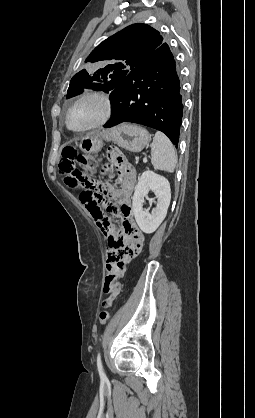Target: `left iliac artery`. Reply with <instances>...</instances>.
<instances>
[{
	"instance_id": "44dca946",
	"label": "left iliac artery",
	"mask_w": 255,
	"mask_h": 418,
	"mask_svg": "<svg viewBox=\"0 0 255 418\" xmlns=\"http://www.w3.org/2000/svg\"><path fill=\"white\" fill-rule=\"evenodd\" d=\"M97 367H98V371H99L100 376L102 378H104L105 377V374H104V370H103V366H102V362H101V355H100V353H98V355H97Z\"/></svg>"
}]
</instances>
